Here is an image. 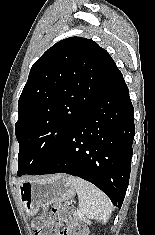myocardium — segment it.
<instances>
[{"label":"myocardium","instance_id":"f54148a6","mask_svg":"<svg viewBox=\"0 0 155 235\" xmlns=\"http://www.w3.org/2000/svg\"><path fill=\"white\" fill-rule=\"evenodd\" d=\"M44 155V151L43 150H38L36 152V156L40 157V156H43Z\"/></svg>","mask_w":155,"mask_h":235}]
</instances>
